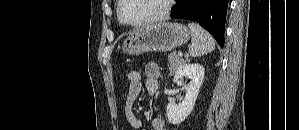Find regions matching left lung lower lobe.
<instances>
[{"mask_svg":"<svg viewBox=\"0 0 299 130\" xmlns=\"http://www.w3.org/2000/svg\"><path fill=\"white\" fill-rule=\"evenodd\" d=\"M172 19H187L199 23L223 47L228 0H176Z\"/></svg>","mask_w":299,"mask_h":130,"instance_id":"left-lung-lower-lobe-1","label":"left lung lower lobe"}]
</instances>
